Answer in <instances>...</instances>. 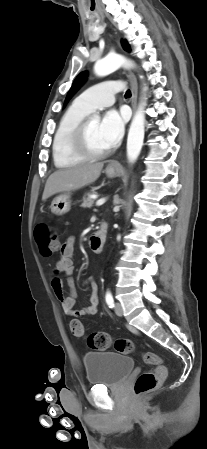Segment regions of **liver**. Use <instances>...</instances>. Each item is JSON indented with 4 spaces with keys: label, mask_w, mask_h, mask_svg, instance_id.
Returning a JSON list of instances; mask_svg holds the SVG:
<instances>
[{
    "label": "liver",
    "mask_w": 207,
    "mask_h": 449,
    "mask_svg": "<svg viewBox=\"0 0 207 449\" xmlns=\"http://www.w3.org/2000/svg\"><path fill=\"white\" fill-rule=\"evenodd\" d=\"M103 163L84 164L61 169L51 174L46 182L42 200L60 192H69L93 183L100 176Z\"/></svg>",
    "instance_id": "liver-1"
}]
</instances>
